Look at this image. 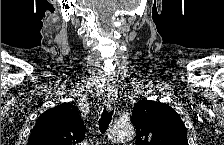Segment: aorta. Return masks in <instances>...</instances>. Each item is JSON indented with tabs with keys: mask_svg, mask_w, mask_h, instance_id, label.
I'll use <instances>...</instances> for the list:
<instances>
[{
	"mask_svg": "<svg viewBox=\"0 0 224 145\" xmlns=\"http://www.w3.org/2000/svg\"><path fill=\"white\" fill-rule=\"evenodd\" d=\"M135 135L130 123H115L108 132V139L112 142L130 141Z\"/></svg>",
	"mask_w": 224,
	"mask_h": 145,
	"instance_id": "1",
	"label": "aorta"
}]
</instances>
